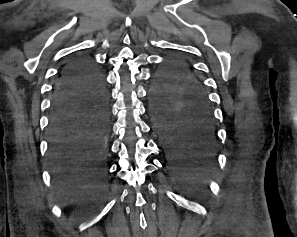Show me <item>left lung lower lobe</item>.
<instances>
[{"instance_id":"1","label":"left lung lower lobe","mask_w":297,"mask_h":237,"mask_svg":"<svg viewBox=\"0 0 297 237\" xmlns=\"http://www.w3.org/2000/svg\"><path fill=\"white\" fill-rule=\"evenodd\" d=\"M161 146L177 165H209L216 156L217 135L210 106L189 101L181 106L151 105Z\"/></svg>"}]
</instances>
